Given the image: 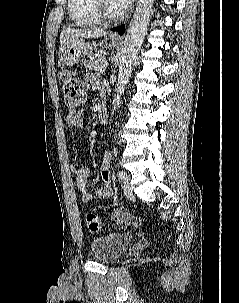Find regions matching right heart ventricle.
Returning <instances> with one entry per match:
<instances>
[{
	"label": "right heart ventricle",
	"instance_id": "right-heart-ventricle-1",
	"mask_svg": "<svg viewBox=\"0 0 239 303\" xmlns=\"http://www.w3.org/2000/svg\"><path fill=\"white\" fill-rule=\"evenodd\" d=\"M67 7L71 21L78 26H93L101 22L91 0H67Z\"/></svg>",
	"mask_w": 239,
	"mask_h": 303
}]
</instances>
